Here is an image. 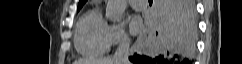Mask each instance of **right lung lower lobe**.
<instances>
[{
  "instance_id": "right-lung-lower-lobe-1",
  "label": "right lung lower lobe",
  "mask_w": 242,
  "mask_h": 64,
  "mask_svg": "<svg viewBox=\"0 0 242 64\" xmlns=\"http://www.w3.org/2000/svg\"><path fill=\"white\" fill-rule=\"evenodd\" d=\"M155 16L159 53L153 58L135 54L129 60L134 64H189L196 41L193 0H156Z\"/></svg>"
}]
</instances>
